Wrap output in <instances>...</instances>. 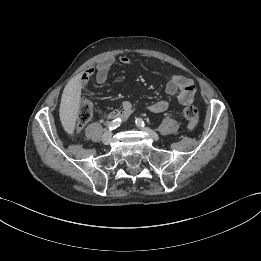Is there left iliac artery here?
<instances>
[{
    "mask_svg": "<svg viewBox=\"0 0 261 261\" xmlns=\"http://www.w3.org/2000/svg\"><path fill=\"white\" fill-rule=\"evenodd\" d=\"M135 122H136V125L139 126V127L145 126V123L141 118H137Z\"/></svg>",
    "mask_w": 261,
    "mask_h": 261,
    "instance_id": "44dca946",
    "label": "left iliac artery"
}]
</instances>
